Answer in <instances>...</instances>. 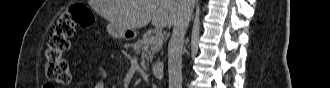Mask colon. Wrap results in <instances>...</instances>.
<instances>
[{
    "label": "colon",
    "mask_w": 330,
    "mask_h": 88,
    "mask_svg": "<svg viewBox=\"0 0 330 88\" xmlns=\"http://www.w3.org/2000/svg\"><path fill=\"white\" fill-rule=\"evenodd\" d=\"M93 22V13L83 3H76L60 14L47 39L45 72L49 80L63 85L71 82L70 65L64 57L70 47L69 38L73 35L75 27L87 29Z\"/></svg>",
    "instance_id": "5ec220e1"
}]
</instances>
